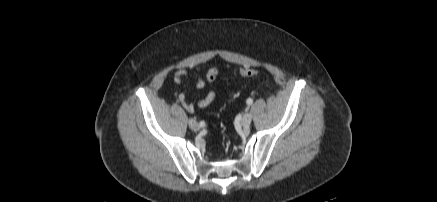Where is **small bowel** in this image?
<instances>
[{
  "mask_svg": "<svg viewBox=\"0 0 437 202\" xmlns=\"http://www.w3.org/2000/svg\"><path fill=\"white\" fill-rule=\"evenodd\" d=\"M189 75L188 70L186 69H179L175 71L174 73V79L177 83H181L184 78H186ZM218 76V69L217 68H211L207 71L205 78H203L198 72L195 74L196 77V87L199 90H202L205 88V80L209 82H213L216 80ZM217 93L215 91H209L207 95L199 100L191 101L189 102L187 100L186 94L181 93L178 96L179 103L183 106V108L189 112L193 113L196 108H206L212 104V102L216 99Z\"/></svg>",
  "mask_w": 437,
  "mask_h": 202,
  "instance_id": "1",
  "label": "small bowel"
}]
</instances>
